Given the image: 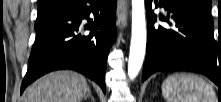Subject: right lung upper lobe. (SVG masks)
<instances>
[{"instance_id":"cb5924a9","label":"right lung upper lobe","mask_w":221,"mask_h":102,"mask_svg":"<svg viewBox=\"0 0 221 102\" xmlns=\"http://www.w3.org/2000/svg\"><path fill=\"white\" fill-rule=\"evenodd\" d=\"M73 2V0H40L38 9L56 6L64 2Z\"/></svg>"}]
</instances>
